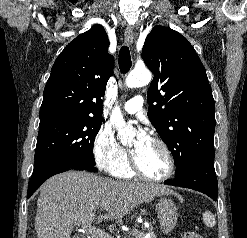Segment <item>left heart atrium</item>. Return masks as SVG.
<instances>
[{"mask_svg": "<svg viewBox=\"0 0 247 238\" xmlns=\"http://www.w3.org/2000/svg\"><path fill=\"white\" fill-rule=\"evenodd\" d=\"M148 140H149V137L147 133L143 130H140L137 136L136 146L139 147L143 145L145 142H147Z\"/></svg>", "mask_w": 247, "mask_h": 238, "instance_id": "obj_1", "label": "left heart atrium"}]
</instances>
